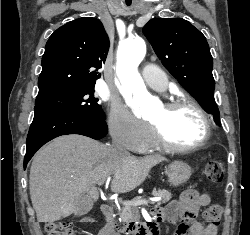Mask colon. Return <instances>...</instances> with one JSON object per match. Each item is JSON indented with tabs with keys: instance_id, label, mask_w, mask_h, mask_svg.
Returning a JSON list of instances; mask_svg holds the SVG:
<instances>
[{
	"instance_id": "obj_1",
	"label": "colon",
	"mask_w": 250,
	"mask_h": 235,
	"mask_svg": "<svg viewBox=\"0 0 250 235\" xmlns=\"http://www.w3.org/2000/svg\"><path fill=\"white\" fill-rule=\"evenodd\" d=\"M205 177L212 183H219L223 179L224 171L220 162L210 161L204 169ZM222 207L219 204H212L204 211V220L213 226L220 224ZM83 223H91L92 219L85 218ZM47 235H74L75 231L70 222H49L46 224Z\"/></svg>"
}]
</instances>
